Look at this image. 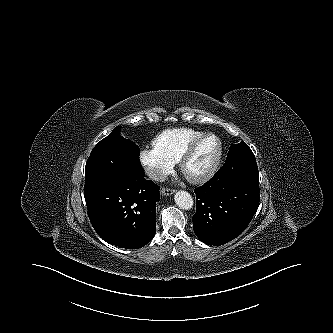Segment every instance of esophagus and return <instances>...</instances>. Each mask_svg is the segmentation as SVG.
Masks as SVG:
<instances>
[{"instance_id": "1", "label": "esophagus", "mask_w": 333, "mask_h": 333, "mask_svg": "<svg viewBox=\"0 0 333 333\" xmlns=\"http://www.w3.org/2000/svg\"><path fill=\"white\" fill-rule=\"evenodd\" d=\"M174 192H175V190L174 189H170V188H162L161 191H160L161 195H163V196H170Z\"/></svg>"}]
</instances>
